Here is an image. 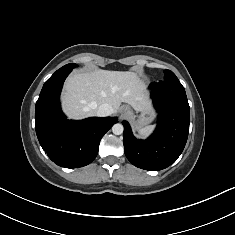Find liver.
<instances>
[{
	"label": "liver",
	"instance_id": "obj_1",
	"mask_svg": "<svg viewBox=\"0 0 235 235\" xmlns=\"http://www.w3.org/2000/svg\"><path fill=\"white\" fill-rule=\"evenodd\" d=\"M122 102L135 110L150 106L146 85L134 72L95 70L74 73L64 84L62 106L71 119L96 116L97 108L105 103L116 113Z\"/></svg>",
	"mask_w": 235,
	"mask_h": 235
}]
</instances>
